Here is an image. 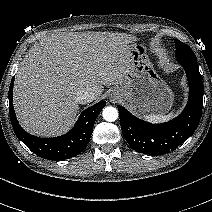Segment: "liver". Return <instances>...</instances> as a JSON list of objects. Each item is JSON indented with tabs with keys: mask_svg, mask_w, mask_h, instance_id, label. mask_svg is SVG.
<instances>
[{
	"mask_svg": "<svg viewBox=\"0 0 212 212\" xmlns=\"http://www.w3.org/2000/svg\"><path fill=\"white\" fill-rule=\"evenodd\" d=\"M136 37L109 32L58 33L26 53L14 84V108L26 131L38 136L67 132L75 122L77 92L103 93L122 82L126 46Z\"/></svg>",
	"mask_w": 212,
	"mask_h": 212,
	"instance_id": "6515ba94",
	"label": "liver"
}]
</instances>
